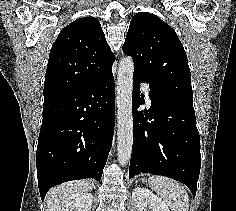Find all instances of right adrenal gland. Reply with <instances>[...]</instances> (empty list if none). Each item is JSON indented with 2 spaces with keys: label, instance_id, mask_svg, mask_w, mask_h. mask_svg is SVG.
I'll return each mask as SVG.
<instances>
[{
  "label": "right adrenal gland",
  "instance_id": "2a0ac1e0",
  "mask_svg": "<svg viewBox=\"0 0 236 211\" xmlns=\"http://www.w3.org/2000/svg\"><path fill=\"white\" fill-rule=\"evenodd\" d=\"M92 189H96V187L94 186V184H92Z\"/></svg>",
  "mask_w": 236,
  "mask_h": 211
}]
</instances>
